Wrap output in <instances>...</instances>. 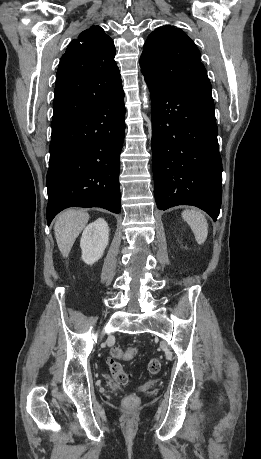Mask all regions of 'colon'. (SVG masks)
<instances>
[{"label":"colon","instance_id":"1","mask_svg":"<svg viewBox=\"0 0 261 459\" xmlns=\"http://www.w3.org/2000/svg\"><path fill=\"white\" fill-rule=\"evenodd\" d=\"M110 354L111 358L108 360V367L111 375L118 384H127L130 380V374L123 369L117 359L132 360L137 354V349L133 347L125 349L113 347ZM147 370L152 375L158 374L161 371V362L155 358L151 359L148 362ZM137 403L138 398L135 395H128L124 399V404L128 407L135 406Z\"/></svg>","mask_w":261,"mask_h":459}]
</instances>
